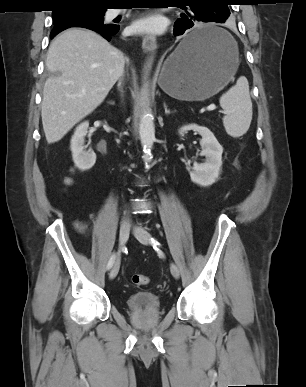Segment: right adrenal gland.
<instances>
[{
	"mask_svg": "<svg viewBox=\"0 0 306 387\" xmlns=\"http://www.w3.org/2000/svg\"><path fill=\"white\" fill-rule=\"evenodd\" d=\"M110 104H111V105H114V104H115V102H114V101H112V102H110Z\"/></svg>",
	"mask_w": 306,
	"mask_h": 387,
	"instance_id": "right-adrenal-gland-1",
	"label": "right adrenal gland"
}]
</instances>
